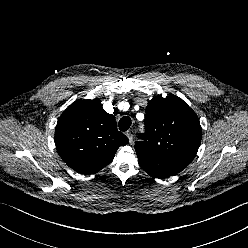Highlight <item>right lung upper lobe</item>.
Here are the masks:
<instances>
[{
    "instance_id": "cb5924a9",
    "label": "right lung upper lobe",
    "mask_w": 248,
    "mask_h": 248,
    "mask_svg": "<svg viewBox=\"0 0 248 248\" xmlns=\"http://www.w3.org/2000/svg\"><path fill=\"white\" fill-rule=\"evenodd\" d=\"M128 138L117 130L115 118L99 99H78L60 116L55 129L56 149L63 161L82 174H93L113 160Z\"/></svg>"
}]
</instances>
